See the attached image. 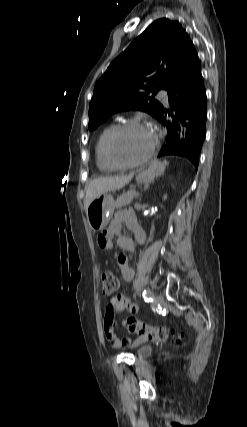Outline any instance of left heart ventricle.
Wrapping results in <instances>:
<instances>
[{"mask_svg":"<svg viewBox=\"0 0 247 427\" xmlns=\"http://www.w3.org/2000/svg\"><path fill=\"white\" fill-rule=\"evenodd\" d=\"M153 140L154 134L149 128L131 127L115 140L114 153L123 162L136 161L146 155Z\"/></svg>","mask_w":247,"mask_h":427,"instance_id":"b2bd125f","label":"left heart ventricle"}]
</instances>
